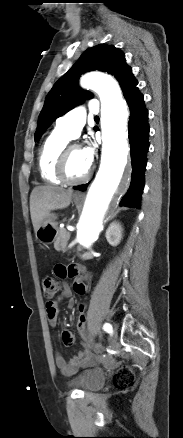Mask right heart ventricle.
Returning <instances> with one entry per match:
<instances>
[{
	"label": "right heart ventricle",
	"instance_id": "e07e8e85",
	"mask_svg": "<svg viewBox=\"0 0 183 438\" xmlns=\"http://www.w3.org/2000/svg\"><path fill=\"white\" fill-rule=\"evenodd\" d=\"M69 139L67 135L55 128L43 142L38 155V167L46 183L54 185L61 183L55 174V167L58 155Z\"/></svg>",
	"mask_w": 183,
	"mask_h": 438
}]
</instances>
